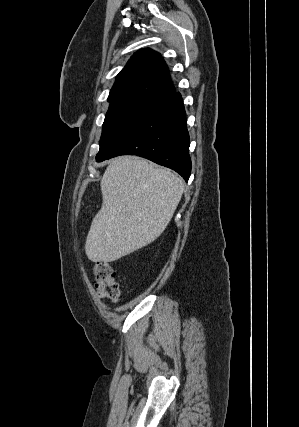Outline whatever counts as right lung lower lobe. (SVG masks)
<instances>
[{
    "label": "right lung lower lobe",
    "mask_w": 299,
    "mask_h": 427,
    "mask_svg": "<svg viewBox=\"0 0 299 427\" xmlns=\"http://www.w3.org/2000/svg\"><path fill=\"white\" fill-rule=\"evenodd\" d=\"M189 134L180 93L158 100L108 149L98 153L101 162L115 156L132 154L147 158L178 172L185 181L191 174Z\"/></svg>",
    "instance_id": "right-lung-lower-lobe-1"
}]
</instances>
